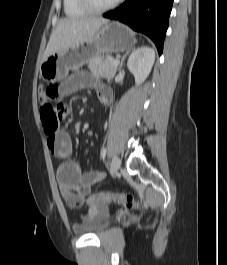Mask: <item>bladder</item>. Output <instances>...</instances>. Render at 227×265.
Returning a JSON list of instances; mask_svg holds the SVG:
<instances>
[{"mask_svg":"<svg viewBox=\"0 0 227 265\" xmlns=\"http://www.w3.org/2000/svg\"><path fill=\"white\" fill-rule=\"evenodd\" d=\"M110 226V217L103 216L96 220L78 224L74 227L77 234L100 235Z\"/></svg>","mask_w":227,"mask_h":265,"instance_id":"1","label":"bladder"}]
</instances>
